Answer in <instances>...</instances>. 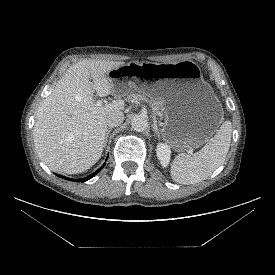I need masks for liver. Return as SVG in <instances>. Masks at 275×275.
Masks as SVG:
<instances>
[{"mask_svg": "<svg viewBox=\"0 0 275 275\" xmlns=\"http://www.w3.org/2000/svg\"><path fill=\"white\" fill-rule=\"evenodd\" d=\"M122 61L82 60L72 65L52 93L40 104L33 130L39 158L54 171L82 173L101 157L107 132L106 117L125 103L98 106L100 97L115 92L107 73ZM92 78V82L90 81Z\"/></svg>", "mask_w": 275, "mask_h": 275, "instance_id": "obj_1", "label": "liver"}]
</instances>
